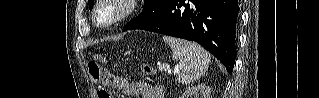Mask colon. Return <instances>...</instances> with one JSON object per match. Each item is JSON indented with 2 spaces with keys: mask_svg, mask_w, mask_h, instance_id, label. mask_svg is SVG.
Listing matches in <instances>:
<instances>
[{
  "mask_svg": "<svg viewBox=\"0 0 319 98\" xmlns=\"http://www.w3.org/2000/svg\"><path fill=\"white\" fill-rule=\"evenodd\" d=\"M97 60H94L89 63L88 68L89 72L91 75L92 80L94 81L95 84L98 85V97L99 98H111L110 92L108 89L105 87V82H106V74L105 71L102 67V62H104V58L96 54ZM141 70L143 73L147 75H152L153 74V69L149 65H143L141 67Z\"/></svg>",
  "mask_w": 319,
  "mask_h": 98,
  "instance_id": "5ec220e1",
  "label": "colon"
}]
</instances>
